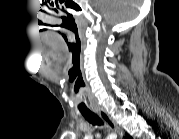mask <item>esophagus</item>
<instances>
[{
    "label": "esophagus",
    "instance_id": "esophagus-1",
    "mask_svg": "<svg viewBox=\"0 0 179 139\" xmlns=\"http://www.w3.org/2000/svg\"><path fill=\"white\" fill-rule=\"evenodd\" d=\"M95 112L105 122V124L109 127V129L116 131L118 133L119 137L123 136V132L116 125L114 120H112V118L103 109H97V110H95Z\"/></svg>",
    "mask_w": 179,
    "mask_h": 139
}]
</instances>
